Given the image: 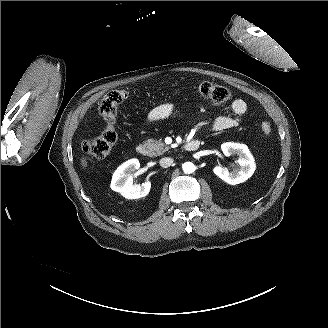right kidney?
I'll return each instance as SVG.
<instances>
[{"label": "right kidney", "mask_w": 328, "mask_h": 328, "mask_svg": "<svg viewBox=\"0 0 328 328\" xmlns=\"http://www.w3.org/2000/svg\"><path fill=\"white\" fill-rule=\"evenodd\" d=\"M140 163L138 159H130L121 164L113 173L111 181V189L119 192L127 199H138L145 197L151 188V182L146 181L142 185H134L131 173L139 169Z\"/></svg>", "instance_id": "ca27d5eb"}]
</instances>
